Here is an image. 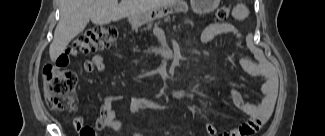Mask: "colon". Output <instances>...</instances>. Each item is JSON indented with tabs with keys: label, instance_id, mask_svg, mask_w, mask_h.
Wrapping results in <instances>:
<instances>
[{
	"label": "colon",
	"instance_id": "1",
	"mask_svg": "<svg viewBox=\"0 0 325 136\" xmlns=\"http://www.w3.org/2000/svg\"><path fill=\"white\" fill-rule=\"evenodd\" d=\"M230 14L228 6H222L215 13V24L223 23ZM117 33L112 27H96L81 34L73 44L75 52L89 54L110 48ZM43 87L46 102L49 108L55 112L65 111L70 107L71 94L75 84L66 80L55 65L45 66L43 69ZM80 136H98L91 127L80 130Z\"/></svg>",
	"mask_w": 325,
	"mask_h": 136
}]
</instances>
